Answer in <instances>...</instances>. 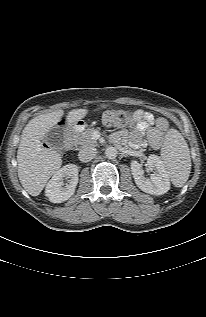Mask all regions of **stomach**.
<instances>
[{
  "label": "stomach",
  "mask_w": 206,
  "mask_h": 317,
  "mask_svg": "<svg viewBox=\"0 0 206 317\" xmlns=\"http://www.w3.org/2000/svg\"><path fill=\"white\" fill-rule=\"evenodd\" d=\"M80 124L81 126H85L84 122L83 121H80Z\"/></svg>",
  "instance_id": "0dacf381"
}]
</instances>
